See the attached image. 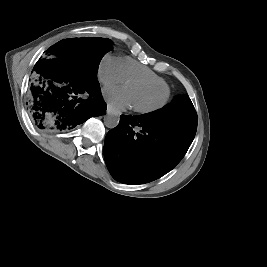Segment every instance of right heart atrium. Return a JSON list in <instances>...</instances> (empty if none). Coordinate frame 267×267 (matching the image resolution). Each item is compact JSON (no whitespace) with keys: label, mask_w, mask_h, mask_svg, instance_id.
Listing matches in <instances>:
<instances>
[{"label":"right heart atrium","mask_w":267,"mask_h":267,"mask_svg":"<svg viewBox=\"0 0 267 267\" xmlns=\"http://www.w3.org/2000/svg\"><path fill=\"white\" fill-rule=\"evenodd\" d=\"M98 78L104 85L119 84L124 81L121 59L105 54L99 63Z\"/></svg>","instance_id":"obj_1"}]
</instances>
